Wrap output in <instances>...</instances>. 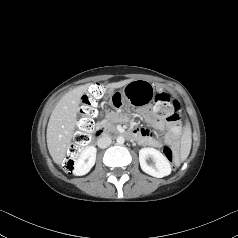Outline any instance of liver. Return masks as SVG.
I'll return each mask as SVG.
<instances>
[{
  "mask_svg": "<svg viewBox=\"0 0 238 238\" xmlns=\"http://www.w3.org/2000/svg\"><path fill=\"white\" fill-rule=\"evenodd\" d=\"M132 79L113 82L106 85L111 92L131 82ZM89 84L78 86L66 93L52 111L47 126V147L56 164H61L69 148L73 137L76 123L77 111L82 95L87 92Z\"/></svg>",
  "mask_w": 238,
  "mask_h": 238,
  "instance_id": "1",
  "label": "liver"
}]
</instances>
